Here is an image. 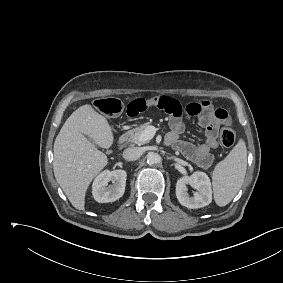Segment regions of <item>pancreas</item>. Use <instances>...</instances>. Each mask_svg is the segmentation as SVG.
Wrapping results in <instances>:
<instances>
[{"mask_svg":"<svg viewBox=\"0 0 283 283\" xmlns=\"http://www.w3.org/2000/svg\"><path fill=\"white\" fill-rule=\"evenodd\" d=\"M151 126L150 125V122H147V123H144V124H141L140 126L130 130L127 132V135L129 137V140L132 141V142H136L138 144H142V143H146L147 141L145 142H140L139 141V138H140V135L149 127Z\"/></svg>","mask_w":283,"mask_h":283,"instance_id":"obj_1","label":"pancreas"}]
</instances>
